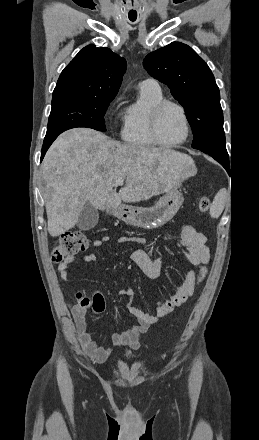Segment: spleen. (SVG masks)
Listing matches in <instances>:
<instances>
[{
  "label": "spleen",
  "instance_id": "spleen-1",
  "mask_svg": "<svg viewBox=\"0 0 259 440\" xmlns=\"http://www.w3.org/2000/svg\"><path fill=\"white\" fill-rule=\"evenodd\" d=\"M227 199L228 192L226 189H221L220 191H218L210 207L211 217L218 218L221 215Z\"/></svg>",
  "mask_w": 259,
  "mask_h": 440
}]
</instances>
